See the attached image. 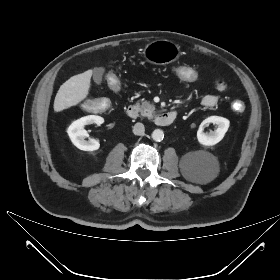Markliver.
Here are the masks:
<instances>
[{
	"mask_svg": "<svg viewBox=\"0 0 280 280\" xmlns=\"http://www.w3.org/2000/svg\"><path fill=\"white\" fill-rule=\"evenodd\" d=\"M92 74L93 70H87L63 83L54 100V111H63L83 101L89 94Z\"/></svg>",
	"mask_w": 280,
	"mask_h": 280,
	"instance_id": "liver-1",
	"label": "liver"
}]
</instances>
